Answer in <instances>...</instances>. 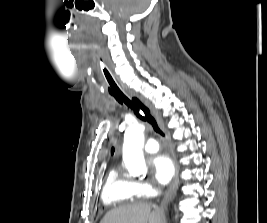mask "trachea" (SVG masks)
Listing matches in <instances>:
<instances>
[{
  "instance_id": "3493384b",
  "label": "trachea",
  "mask_w": 267,
  "mask_h": 223,
  "mask_svg": "<svg viewBox=\"0 0 267 223\" xmlns=\"http://www.w3.org/2000/svg\"><path fill=\"white\" fill-rule=\"evenodd\" d=\"M103 72L108 85L113 90L111 95L116 99V101H118L120 104L124 103L126 106L131 108L139 119L148 122L156 133L164 136V133L159 128L156 119L151 115L150 110L138 98H128L122 91L117 80L106 68L103 69Z\"/></svg>"
}]
</instances>
